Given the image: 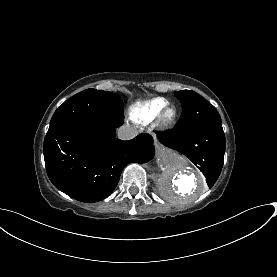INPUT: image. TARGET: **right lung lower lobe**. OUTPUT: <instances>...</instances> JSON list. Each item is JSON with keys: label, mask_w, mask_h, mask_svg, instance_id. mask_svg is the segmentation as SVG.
<instances>
[{"label": "right lung lower lobe", "mask_w": 277, "mask_h": 277, "mask_svg": "<svg viewBox=\"0 0 277 277\" xmlns=\"http://www.w3.org/2000/svg\"><path fill=\"white\" fill-rule=\"evenodd\" d=\"M122 118L75 121L48 131L43 153L47 174L59 190L82 202H97L115 189L123 168L152 159L149 134L129 141L115 138Z\"/></svg>", "instance_id": "1"}]
</instances>
